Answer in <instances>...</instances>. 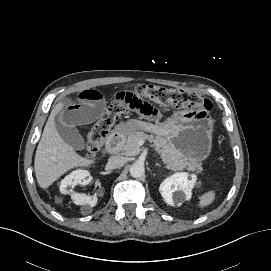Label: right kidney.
Returning <instances> with one entry per match:
<instances>
[{"label":"right kidney","mask_w":271,"mask_h":271,"mask_svg":"<svg viewBox=\"0 0 271 271\" xmlns=\"http://www.w3.org/2000/svg\"><path fill=\"white\" fill-rule=\"evenodd\" d=\"M90 182V173L87 170H75L69 175H67L62 181L60 185V192L62 194H69L73 202L76 205H89L94 207L97 203V197L89 196L86 194H79L74 192L73 190H68L67 187H74L76 184L86 185Z\"/></svg>","instance_id":"right-kidney-1"}]
</instances>
